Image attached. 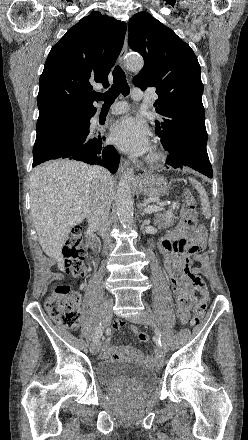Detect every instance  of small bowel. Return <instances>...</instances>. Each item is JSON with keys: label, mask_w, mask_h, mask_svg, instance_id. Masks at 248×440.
<instances>
[{"label": "small bowel", "mask_w": 248, "mask_h": 440, "mask_svg": "<svg viewBox=\"0 0 248 440\" xmlns=\"http://www.w3.org/2000/svg\"><path fill=\"white\" fill-rule=\"evenodd\" d=\"M205 239V228L189 221L188 217L185 216L182 222L160 242V249L164 257V268L178 305L176 315L180 318L181 324L189 323V309L193 303L189 287L192 285L191 278L200 272L198 267H192L191 256L197 262L203 260V256L199 254V251L203 249ZM124 326V322L118 321L114 328L120 330ZM130 329L132 332L137 331L135 326H131ZM102 357L105 359L131 357L152 366L160 364L158 357L145 356L130 347L116 348L111 345L109 340L104 343Z\"/></svg>", "instance_id": "1"}]
</instances>
